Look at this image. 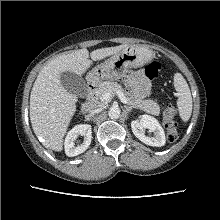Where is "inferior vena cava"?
Masks as SVG:
<instances>
[{
    "label": "inferior vena cava",
    "instance_id": "obj_1",
    "mask_svg": "<svg viewBox=\"0 0 220 220\" xmlns=\"http://www.w3.org/2000/svg\"><path fill=\"white\" fill-rule=\"evenodd\" d=\"M102 109L101 108H96V109H93L89 112V114L87 115V118H90V117H93L95 114L101 112Z\"/></svg>",
    "mask_w": 220,
    "mask_h": 220
}]
</instances>
